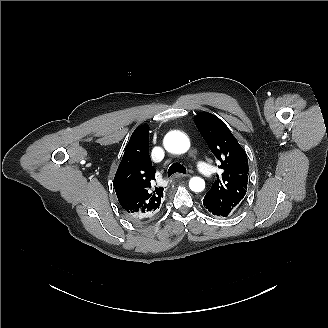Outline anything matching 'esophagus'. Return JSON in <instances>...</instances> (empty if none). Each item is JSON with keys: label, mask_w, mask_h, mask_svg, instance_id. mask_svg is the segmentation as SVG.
Wrapping results in <instances>:
<instances>
[{"label": "esophagus", "mask_w": 328, "mask_h": 328, "mask_svg": "<svg viewBox=\"0 0 328 328\" xmlns=\"http://www.w3.org/2000/svg\"><path fill=\"white\" fill-rule=\"evenodd\" d=\"M187 176H188L187 174L176 173L172 176V178H182Z\"/></svg>", "instance_id": "esophagus-1"}]
</instances>
